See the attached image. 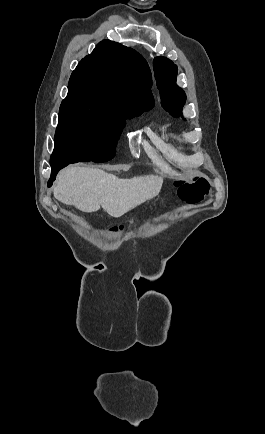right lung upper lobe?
<instances>
[{"instance_id": "1", "label": "right lung upper lobe", "mask_w": 265, "mask_h": 434, "mask_svg": "<svg viewBox=\"0 0 265 434\" xmlns=\"http://www.w3.org/2000/svg\"><path fill=\"white\" fill-rule=\"evenodd\" d=\"M151 85L149 66L138 52L120 43L103 40L79 62L68 88H95L111 99L151 109Z\"/></svg>"}]
</instances>
